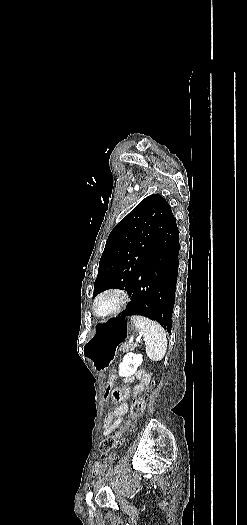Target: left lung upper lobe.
I'll return each instance as SVG.
<instances>
[{
	"label": "left lung upper lobe",
	"mask_w": 247,
	"mask_h": 525,
	"mask_svg": "<svg viewBox=\"0 0 247 525\" xmlns=\"http://www.w3.org/2000/svg\"><path fill=\"white\" fill-rule=\"evenodd\" d=\"M174 217L160 195L144 198L111 231L102 253L94 295L107 288H130L150 254L153 241Z\"/></svg>",
	"instance_id": "obj_1"
}]
</instances>
